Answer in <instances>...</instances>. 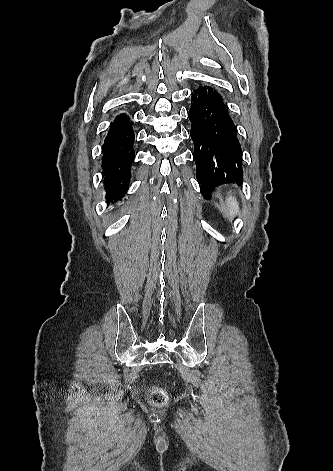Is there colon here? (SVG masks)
Returning <instances> with one entry per match:
<instances>
[{"instance_id":"colon-1","label":"colon","mask_w":333,"mask_h":471,"mask_svg":"<svg viewBox=\"0 0 333 471\" xmlns=\"http://www.w3.org/2000/svg\"><path fill=\"white\" fill-rule=\"evenodd\" d=\"M149 400L155 406H163L167 402V394L162 388L154 387L150 392Z\"/></svg>"}]
</instances>
